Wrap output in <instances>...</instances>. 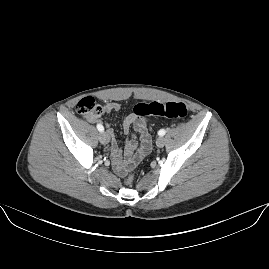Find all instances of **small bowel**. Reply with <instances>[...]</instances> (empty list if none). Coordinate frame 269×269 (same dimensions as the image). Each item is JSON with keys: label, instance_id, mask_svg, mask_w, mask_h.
I'll list each match as a JSON object with an SVG mask.
<instances>
[{"label": "small bowel", "instance_id": "obj_1", "mask_svg": "<svg viewBox=\"0 0 269 269\" xmlns=\"http://www.w3.org/2000/svg\"><path fill=\"white\" fill-rule=\"evenodd\" d=\"M120 109V104L117 102H107L103 106V111L105 113L110 112H116ZM92 122H95L97 120V117L89 118ZM139 134L140 136V147L137 150V152L134 154V151L136 149V141L132 137L126 141L125 148H124V157H122L121 152L116 144L115 138H114V131L111 127L108 126L107 128V134L111 138V144H110V153H111V160L112 165L115 171L119 174H124V172L127 170L128 167L132 166L136 162L141 161L145 155L142 151L141 141L143 139L142 132L145 128H147V122L135 115H128L122 123V129L125 134H129L131 128Z\"/></svg>", "mask_w": 269, "mask_h": 269}]
</instances>
